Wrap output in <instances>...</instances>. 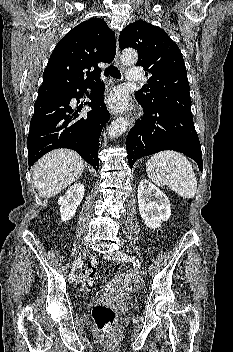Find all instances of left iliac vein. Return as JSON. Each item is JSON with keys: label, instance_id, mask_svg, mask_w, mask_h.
I'll list each match as a JSON object with an SVG mask.
<instances>
[{"label": "left iliac vein", "instance_id": "1", "mask_svg": "<svg viewBox=\"0 0 233 352\" xmlns=\"http://www.w3.org/2000/svg\"><path fill=\"white\" fill-rule=\"evenodd\" d=\"M125 256H127V254L121 251H113L104 255L106 259H110L115 262H121V263L127 261L126 259H124ZM137 273L140 278H144L146 276V271L143 267H139Z\"/></svg>", "mask_w": 233, "mask_h": 352}]
</instances>
